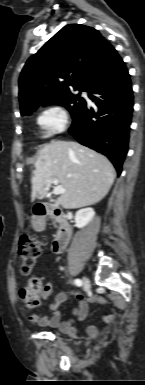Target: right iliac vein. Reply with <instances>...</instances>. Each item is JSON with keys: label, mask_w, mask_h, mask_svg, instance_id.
I'll list each match as a JSON object with an SVG mask.
<instances>
[{"label": "right iliac vein", "mask_w": 145, "mask_h": 385, "mask_svg": "<svg viewBox=\"0 0 145 385\" xmlns=\"http://www.w3.org/2000/svg\"><path fill=\"white\" fill-rule=\"evenodd\" d=\"M83 287L88 290L90 288V281L87 277L82 278Z\"/></svg>", "instance_id": "63e3f726"}]
</instances>
